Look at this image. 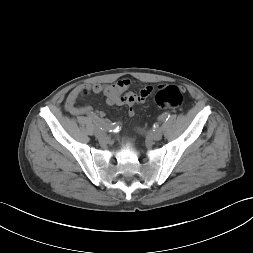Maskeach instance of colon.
Returning a JSON list of instances; mask_svg holds the SVG:
<instances>
[{
    "label": "colon",
    "mask_w": 253,
    "mask_h": 253,
    "mask_svg": "<svg viewBox=\"0 0 253 253\" xmlns=\"http://www.w3.org/2000/svg\"><path fill=\"white\" fill-rule=\"evenodd\" d=\"M183 101L182 91L174 85L166 86L156 93L155 104L162 109H178Z\"/></svg>",
    "instance_id": "colon-1"
}]
</instances>
